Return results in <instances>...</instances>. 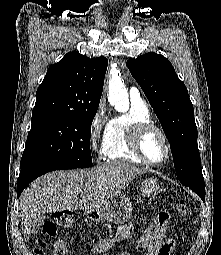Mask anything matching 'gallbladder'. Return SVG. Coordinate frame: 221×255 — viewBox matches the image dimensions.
Segmentation results:
<instances>
[{"label": "gallbladder", "mask_w": 221, "mask_h": 255, "mask_svg": "<svg viewBox=\"0 0 221 255\" xmlns=\"http://www.w3.org/2000/svg\"><path fill=\"white\" fill-rule=\"evenodd\" d=\"M45 216H39L32 225V234L38 233L41 229L42 225L44 224Z\"/></svg>", "instance_id": "bac80fb5"}]
</instances>
